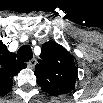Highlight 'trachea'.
Returning <instances> with one entry per match:
<instances>
[{
  "instance_id": "3493384b",
  "label": "trachea",
  "mask_w": 103,
  "mask_h": 103,
  "mask_svg": "<svg viewBox=\"0 0 103 103\" xmlns=\"http://www.w3.org/2000/svg\"><path fill=\"white\" fill-rule=\"evenodd\" d=\"M32 57H33V53L30 46L28 45L22 46L17 53V58L21 61L26 62L30 60Z\"/></svg>"
}]
</instances>
